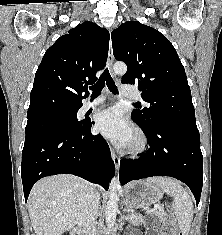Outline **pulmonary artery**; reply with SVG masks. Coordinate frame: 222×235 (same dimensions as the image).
<instances>
[{"mask_svg": "<svg viewBox=\"0 0 222 235\" xmlns=\"http://www.w3.org/2000/svg\"><path fill=\"white\" fill-rule=\"evenodd\" d=\"M121 95L128 97V98L136 99V100L141 99L139 91L137 89L130 87V86H127V85L121 86ZM104 100H105L104 96H99V97L95 98L94 100H87L84 103L82 109H83V111H86L92 107H95V106L103 103Z\"/></svg>", "mask_w": 222, "mask_h": 235, "instance_id": "e3ab8cb5", "label": "pulmonary artery"}]
</instances>
